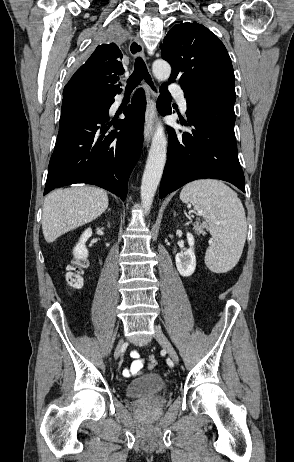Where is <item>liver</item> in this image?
Listing matches in <instances>:
<instances>
[{
  "label": "liver",
  "instance_id": "obj_1",
  "mask_svg": "<svg viewBox=\"0 0 294 462\" xmlns=\"http://www.w3.org/2000/svg\"><path fill=\"white\" fill-rule=\"evenodd\" d=\"M108 207V195L99 188L73 187L51 192L44 201L43 235L48 243L61 235L92 222Z\"/></svg>",
  "mask_w": 294,
  "mask_h": 462
}]
</instances>
